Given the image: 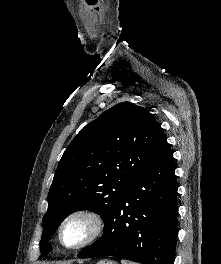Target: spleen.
<instances>
[{
	"instance_id": "spleen-1",
	"label": "spleen",
	"mask_w": 221,
	"mask_h": 264,
	"mask_svg": "<svg viewBox=\"0 0 221 264\" xmlns=\"http://www.w3.org/2000/svg\"><path fill=\"white\" fill-rule=\"evenodd\" d=\"M121 264H137V263H133V262H128L126 260H122L121 261Z\"/></svg>"
}]
</instances>
